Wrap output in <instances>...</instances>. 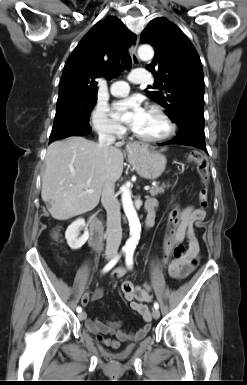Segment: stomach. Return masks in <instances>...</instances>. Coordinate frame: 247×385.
Returning a JSON list of instances; mask_svg holds the SVG:
<instances>
[{
  "instance_id": "obj_1",
  "label": "stomach",
  "mask_w": 247,
  "mask_h": 385,
  "mask_svg": "<svg viewBox=\"0 0 247 385\" xmlns=\"http://www.w3.org/2000/svg\"><path fill=\"white\" fill-rule=\"evenodd\" d=\"M128 161L143 178L155 180L166 168V157L143 145H134L128 153Z\"/></svg>"
}]
</instances>
